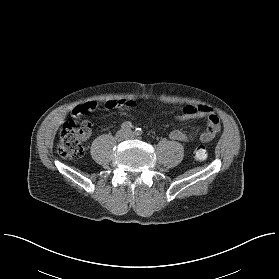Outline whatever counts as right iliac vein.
<instances>
[{"instance_id":"63e3f726","label":"right iliac vein","mask_w":279,"mask_h":279,"mask_svg":"<svg viewBox=\"0 0 279 279\" xmlns=\"http://www.w3.org/2000/svg\"><path fill=\"white\" fill-rule=\"evenodd\" d=\"M116 137H117V138H120V139H122L123 137H125V132H124V130H119V131L116 133Z\"/></svg>"}]
</instances>
